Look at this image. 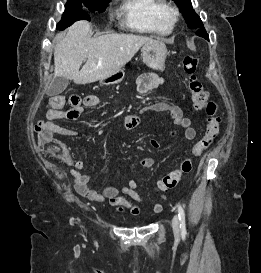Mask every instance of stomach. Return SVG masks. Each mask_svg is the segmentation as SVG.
I'll use <instances>...</instances> for the list:
<instances>
[{
  "instance_id": "stomach-1",
  "label": "stomach",
  "mask_w": 261,
  "mask_h": 273,
  "mask_svg": "<svg viewBox=\"0 0 261 273\" xmlns=\"http://www.w3.org/2000/svg\"><path fill=\"white\" fill-rule=\"evenodd\" d=\"M141 52L143 61L148 67L155 70H163L168 54L167 48L163 42L157 40L147 42L142 46ZM124 76V71L120 69L113 75L101 81L105 84H116L121 82Z\"/></svg>"
}]
</instances>
